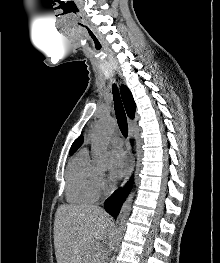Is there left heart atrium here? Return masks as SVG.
I'll return each instance as SVG.
<instances>
[{"instance_id":"39dd6f15","label":"left heart atrium","mask_w":220,"mask_h":263,"mask_svg":"<svg viewBox=\"0 0 220 263\" xmlns=\"http://www.w3.org/2000/svg\"><path fill=\"white\" fill-rule=\"evenodd\" d=\"M108 167L113 179L121 178L128 168L126 153L121 149L112 150L108 157Z\"/></svg>"}]
</instances>
